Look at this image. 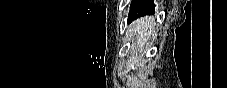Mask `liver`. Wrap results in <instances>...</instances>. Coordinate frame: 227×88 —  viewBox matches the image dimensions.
<instances>
[{
	"instance_id": "6515ba94",
	"label": "liver",
	"mask_w": 227,
	"mask_h": 88,
	"mask_svg": "<svg viewBox=\"0 0 227 88\" xmlns=\"http://www.w3.org/2000/svg\"><path fill=\"white\" fill-rule=\"evenodd\" d=\"M129 28L133 41L132 51L133 53L141 52L154 34L153 18L148 16L142 17L134 21Z\"/></svg>"
}]
</instances>
